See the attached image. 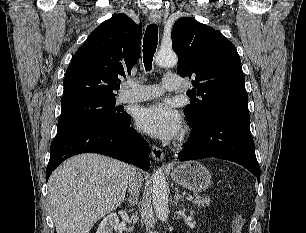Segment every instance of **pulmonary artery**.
<instances>
[{
    "instance_id": "obj_1",
    "label": "pulmonary artery",
    "mask_w": 306,
    "mask_h": 233,
    "mask_svg": "<svg viewBox=\"0 0 306 233\" xmlns=\"http://www.w3.org/2000/svg\"><path fill=\"white\" fill-rule=\"evenodd\" d=\"M183 87V83L178 75H167L163 79L162 85H138L127 83L125 89L121 91L117 98V102L135 103L151 100L159 97L165 91H179Z\"/></svg>"
}]
</instances>
